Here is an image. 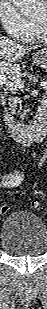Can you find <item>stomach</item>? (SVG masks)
Returning a JSON list of instances; mask_svg holds the SVG:
<instances>
[{"instance_id":"obj_1","label":"stomach","mask_w":47,"mask_h":309,"mask_svg":"<svg viewBox=\"0 0 47 309\" xmlns=\"http://www.w3.org/2000/svg\"><path fill=\"white\" fill-rule=\"evenodd\" d=\"M33 60L37 66L47 69V47L35 53Z\"/></svg>"}]
</instances>
